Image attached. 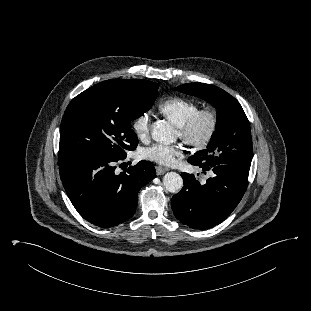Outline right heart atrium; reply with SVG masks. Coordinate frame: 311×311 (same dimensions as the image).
<instances>
[{
	"label": "right heart atrium",
	"mask_w": 311,
	"mask_h": 311,
	"mask_svg": "<svg viewBox=\"0 0 311 311\" xmlns=\"http://www.w3.org/2000/svg\"><path fill=\"white\" fill-rule=\"evenodd\" d=\"M132 130L139 139H146L149 136L150 131L149 113L144 112L135 117L132 121Z\"/></svg>",
	"instance_id": "d8ad5b80"
}]
</instances>
